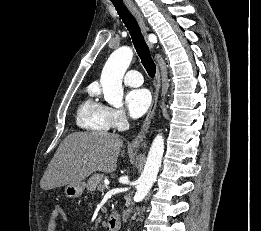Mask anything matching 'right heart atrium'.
<instances>
[{"label": "right heart atrium", "mask_w": 261, "mask_h": 231, "mask_svg": "<svg viewBox=\"0 0 261 231\" xmlns=\"http://www.w3.org/2000/svg\"><path fill=\"white\" fill-rule=\"evenodd\" d=\"M108 118L110 126L116 130H121L127 126L128 116L122 109L108 107Z\"/></svg>", "instance_id": "1"}]
</instances>
